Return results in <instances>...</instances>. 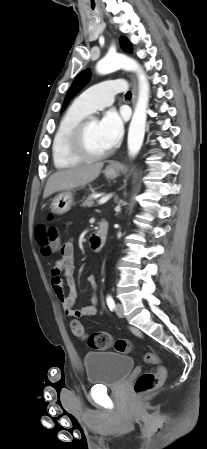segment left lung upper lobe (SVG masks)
Instances as JSON below:
<instances>
[{"label":"left lung upper lobe","instance_id":"left-lung-upper-lobe-1","mask_svg":"<svg viewBox=\"0 0 207 449\" xmlns=\"http://www.w3.org/2000/svg\"><path fill=\"white\" fill-rule=\"evenodd\" d=\"M120 44H121L122 49L125 52H128V53L132 52L131 44L126 38H120ZM89 76H90V72L88 69L80 72L77 75V77L74 79L70 89L67 92L62 110L67 106L69 101L77 94V92L88 82Z\"/></svg>","mask_w":207,"mask_h":449}]
</instances>
